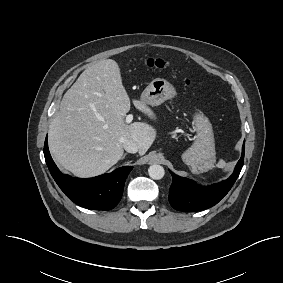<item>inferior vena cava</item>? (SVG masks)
Returning a JSON list of instances; mask_svg holds the SVG:
<instances>
[{
	"label": "inferior vena cava",
	"mask_w": 283,
	"mask_h": 283,
	"mask_svg": "<svg viewBox=\"0 0 283 283\" xmlns=\"http://www.w3.org/2000/svg\"><path fill=\"white\" fill-rule=\"evenodd\" d=\"M123 148L129 153H136L139 150L138 144L132 139L123 140Z\"/></svg>",
	"instance_id": "1"
}]
</instances>
